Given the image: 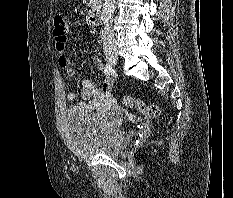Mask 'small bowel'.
Here are the masks:
<instances>
[{
  "instance_id": "c3829d8e",
  "label": "small bowel",
  "mask_w": 233,
  "mask_h": 198,
  "mask_svg": "<svg viewBox=\"0 0 233 198\" xmlns=\"http://www.w3.org/2000/svg\"><path fill=\"white\" fill-rule=\"evenodd\" d=\"M54 38L58 65L65 70L68 76L72 77L75 75V69L70 58L65 54L67 38ZM94 64L99 71L104 72L105 67L99 56L94 57ZM112 87L113 79L106 74L101 88H98L91 80H83L80 101L72 106V110L88 112L112 103L114 101ZM66 99L71 102L74 101L76 99L75 93L68 92Z\"/></svg>"
}]
</instances>
